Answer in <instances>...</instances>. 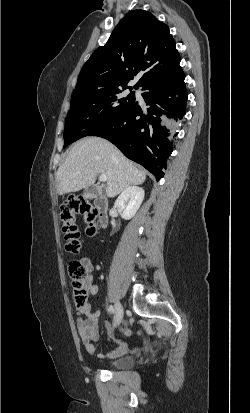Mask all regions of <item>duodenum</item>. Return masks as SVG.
<instances>
[{
    "instance_id": "obj_1",
    "label": "duodenum",
    "mask_w": 250,
    "mask_h": 413,
    "mask_svg": "<svg viewBox=\"0 0 250 413\" xmlns=\"http://www.w3.org/2000/svg\"><path fill=\"white\" fill-rule=\"evenodd\" d=\"M95 209L97 211V220L101 228H105L108 223V203L105 198L97 197L95 199Z\"/></svg>"
}]
</instances>
